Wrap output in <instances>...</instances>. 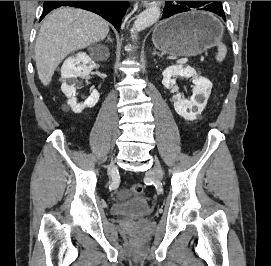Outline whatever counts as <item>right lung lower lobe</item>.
Returning <instances> with one entry per match:
<instances>
[{
	"mask_svg": "<svg viewBox=\"0 0 271 266\" xmlns=\"http://www.w3.org/2000/svg\"><path fill=\"white\" fill-rule=\"evenodd\" d=\"M60 6H73L92 11L112 23L117 30L128 7L126 1H45L40 20Z\"/></svg>",
	"mask_w": 271,
	"mask_h": 266,
	"instance_id": "right-lung-lower-lobe-1",
	"label": "right lung lower lobe"
}]
</instances>
